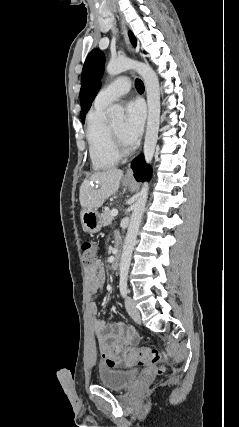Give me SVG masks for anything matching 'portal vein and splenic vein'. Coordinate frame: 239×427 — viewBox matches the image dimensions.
Instances as JSON below:
<instances>
[{
    "instance_id": "obj_1",
    "label": "portal vein and splenic vein",
    "mask_w": 239,
    "mask_h": 427,
    "mask_svg": "<svg viewBox=\"0 0 239 427\" xmlns=\"http://www.w3.org/2000/svg\"><path fill=\"white\" fill-rule=\"evenodd\" d=\"M117 214H118V210H117V209H113V210L111 211V216H112V217L117 216Z\"/></svg>"
}]
</instances>
